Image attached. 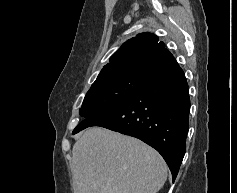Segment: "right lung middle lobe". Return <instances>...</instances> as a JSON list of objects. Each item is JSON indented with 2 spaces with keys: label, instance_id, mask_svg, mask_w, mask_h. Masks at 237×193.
Returning a JSON list of instances; mask_svg holds the SVG:
<instances>
[{
  "label": "right lung middle lobe",
  "instance_id": "obj_1",
  "mask_svg": "<svg viewBox=\"0 0 237 193\" xmlns=\"http://www.w3.org/2000/svg\"><path fill=\"white\" fill-rule=\"evenodd\" d=\"M144 75V71H137L95 81L84 98L80 115L88 119L118 106L139 87Z\"/></svg>",
  "mask_w": 237,
  "mask_h": 193
}]
</instances>
